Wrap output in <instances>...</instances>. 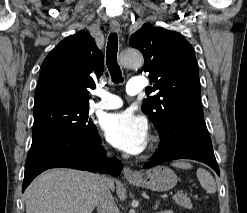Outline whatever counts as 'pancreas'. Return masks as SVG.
Returning a JSON list of instances; mask_svg holds the SVG:
<instances>
[{
	"mask_svg": "<svg viewBox=\"0 0 247 213\" xmlns=\"http://www.w3.org/2000/svg\"><path fill=\"white\" fill-rule=\"evenodd\" d=\"M175 203L179 206L185 207L187 209L192 208V203L190 201V198L185 194H178L176 197L173 198Z\"/></svg>",
	"mask_w": 247,
	"mask_h": 213,
	"instance_id": "cf45deb5",
	"label": "pancreas"
}]
</instances>
